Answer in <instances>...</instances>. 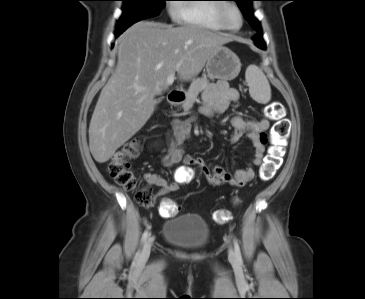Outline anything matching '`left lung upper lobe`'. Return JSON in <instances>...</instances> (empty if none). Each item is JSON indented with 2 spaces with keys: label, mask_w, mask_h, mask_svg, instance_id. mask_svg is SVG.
Listing matches in <instances>:
<instances>
[{
  "label": "left lung upper lobe",
  "mask_w": 365,
  "mask_h": 299,
  "mask_svg": "<svg viewBox=\"0 0 365 299\" xmlns=\"http://www.w3.org/2000/svg\"><path fill=\"white\" fill-rule=\"evenodd\" d=\"M237 2L240 10L242 11L245 19L249 22L252 28L258 33L262 34V29L260 22L254 17L252 4L251 2L254 0H234Z\"/></svg>",
  "instance_id": "left-lung-upper-lobe-1"
}]
</instances>
